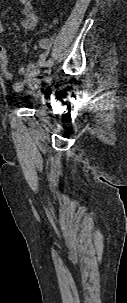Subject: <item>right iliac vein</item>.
Instances as JSON below:
<instances>
[{"label": "right iliac vein", "mask_w": 127, "mask_h": 303, "mask_svg": "<svg viewBox=\"0 0 127 303\" xmlns=\"http://www.w3.org/2000/svg\"><path fill=\"white\" fill-rule=\"evenodd\" d=\"M50 74H51V70L45 71L44 79H48V77L50 76Z\"/></svg>", "instance_id": "obj_1"}]
</instances>
